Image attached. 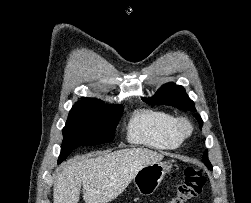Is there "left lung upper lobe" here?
<instances>
[{
	"instance_id": "1",
	"label": "left lung upper lobe",
	"mask_w": 251,
	"mask_h": 203,
	"mask_svg": "<svg viewBox=\"0 0 251 203\" xmlns=\"http://www.w3.org/2000/svg\"><path fill=\"white\" fill-rule=\"evenodd\" d=\"M142 99L144 102L152 105L165 104L177 107L181 110L196 112L194 102L188 97L185 89L182 86H178L173 83L163 85L153 97ZM195 116L200 124V127H202L203 121L201 117L198 114H195ZM203 162L208 169L212 170L207 150L203 154Z\"/></svg>"
}]
</instances>
